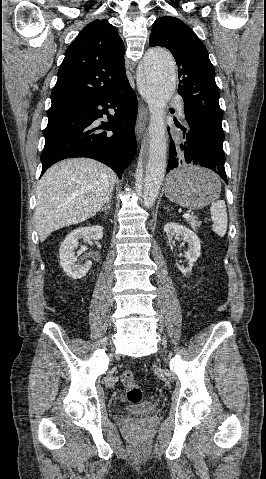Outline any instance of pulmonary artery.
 Listing matches in <instances>:
<instances>
[{
	"label": "pulmonary artery",
	"mask_w": 266,
	"mask_h": 479,
	"mask_svg": "<svg viewBox=\"0 0 266 479\" xmlns=\"http://www.w3.org/2000/svg\"><path fill=\"white\" fill-rule=\"evenodd\" d=\"M179 113H180V115H183V110H182L181 106L179 107Z\"/></svg>",
	"instance_id": "e3ab8cb5"
}]
</instances>
